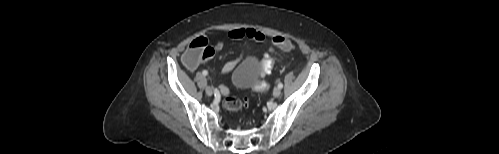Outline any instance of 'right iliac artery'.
<instances>
[{
  "label": "right iliac artery",
  "mask_w": 499,
  "mask_h": 154,
  "mask_svg": "<svg viewBox=\"0 0 499 154\" xmlns=\"http://www.w3.org/2000/svg\"><path fill=\"white\" fill-rule=\"evenodd\" d=\"M202 74H203L204 76H206V75L208 74V72H207L206 70H204V71L202 72Z\"/></svg>",
  "instance_id": "82829eb1"
}]
</instances>
